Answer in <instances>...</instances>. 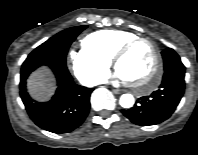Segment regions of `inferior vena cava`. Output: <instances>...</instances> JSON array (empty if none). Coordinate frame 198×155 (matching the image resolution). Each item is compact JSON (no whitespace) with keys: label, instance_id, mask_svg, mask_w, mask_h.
Returning a JSON list of instances; mask_svg holds the SVG:
<instances>
[{"label":"inferior vena cava","instance_id":"602c4592","mask_svg":"<svg viewBox=\"0 0 198 155\" xmlns=\"http://www.w3.org/2000/svg\"><path fill=\"white\" fill-rule=\"evenodd\" d=\"M101 83H102V81L97 80V79H93V80L89 81L87 85L88 86H95V85H98V84H101Z\"/></svg>","mask_w":198,"mask_h":155}]
</instances>
